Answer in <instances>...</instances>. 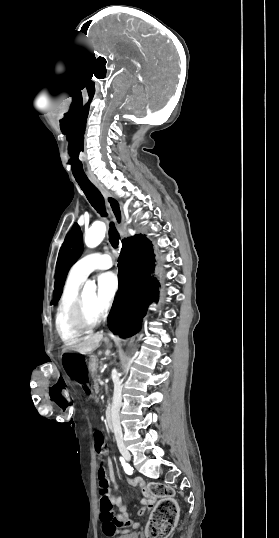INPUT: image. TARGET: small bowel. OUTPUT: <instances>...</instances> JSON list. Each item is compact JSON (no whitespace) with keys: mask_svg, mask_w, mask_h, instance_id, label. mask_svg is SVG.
Masks as SVG:
<instances>
[{"mask_svg":"<svg viewBox=\"0 0 279 538\" xmlns=\"http://www.w3.org/2000/svg\"><path fill=\"white\" fill-rule=\"evenodd\" d=\"M108 475L114 486V493L111 496V502L115 504L119 509V514L111 518L102 516L103 531L106 535H113L116 533H127L130 528L137 529L139 522H136L129 518L127 513V498H123L119 495V487L115 479L114 469L111 460L107 461ZM128 482L132 488L140 489L144 495V498L140 501L139 516L146 514L147 510L153 506V499L149 490L146 487L145 482L141 478H129Z\"/></svg>","mask_w":279,"mask_h":538,"instance_id":"1","label":"small bowel"}]
</instances>
